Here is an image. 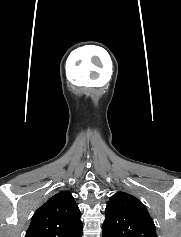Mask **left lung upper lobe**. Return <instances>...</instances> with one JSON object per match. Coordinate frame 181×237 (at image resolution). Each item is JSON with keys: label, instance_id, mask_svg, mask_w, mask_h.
I'll list each match as a JSON object with an SVG mask.
<instances>
[{"label": "left lung upper lobe", "instance_id": "1", "mask_svg": "<svg viewBox=\"0 0 181 237\" xmlns=\"http://www.w3.org/2000/svg\"><path fill=\"white\" fill-rule=\"evenodd\" d=\"M103 237H157L145 206L133 195L115 193L105 210Z\"/></svg>", "mask_w": 181, "mask_h": 237}]
</instances>
